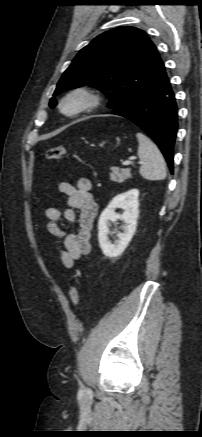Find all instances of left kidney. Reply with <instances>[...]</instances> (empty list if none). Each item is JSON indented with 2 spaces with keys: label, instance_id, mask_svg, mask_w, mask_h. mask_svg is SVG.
I'll return each mask as SVG.
<instances>
[{
  "label": "left kidney",
  "instance_id": "left-kidney-1",
  "mask_svg": "<svg viewBox=\"0 0 202 437\" xmlns=\"http://www.w3.org/2000/svg\"><path fill=\"white\" fill-rule=\"evenodd\" d=\"M139 190L132 189L115 196L107 208L102 212L98 222V240L105 256L115 258L120 256L131 241L137 226L139 215ZM116 208H122L123 214H117ZM121 220L124 222L123 232H118L117 239L111 243L108 235L111 234V224ZM116 233V232H113Z\"/></svg>",
  "mask_w": 202,
  "mask_h": 437
}]
</instances>
